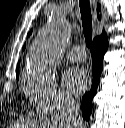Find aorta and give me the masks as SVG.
Here are the masks:
<instances>
[{
	"mask_svg": "<svg viewBox=\"0 0 125 128\" xmlns=\"http://www.w3.org/2000/svg\"><path fill=\"white\" fill-rule=\"evenodd\" d=\"M70 36V25L63 18H54L48 26L40 30L35 39L28 60L37 74L51 76L63 46Z\"/></svg>",
	"mask_w": 125,
	"mask_h": 128,
	"instance_id": "aorta-1",
	"label": "aorta"
}]
</instances>
